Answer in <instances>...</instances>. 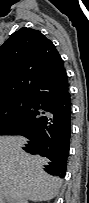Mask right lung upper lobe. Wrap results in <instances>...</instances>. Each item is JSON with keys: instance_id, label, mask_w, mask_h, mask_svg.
<instances>
[{"instance_id": "cb5924a9", "label": "right lung upper lobe", "mask_w": 89, "mask_h": 203, "mask_svg": "<svg viewBox=\"0 0 89 203\" xmlns=\"http://www.w3.org/2000/svg\"><path fill=\"white\" fill-rule=\"evenodd\" d=\"M63 65L54 44L23 27L0 47V104L28 96L46 74Z\"/></svg>"}]
</instances>
